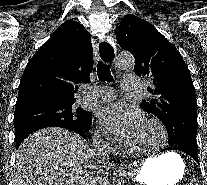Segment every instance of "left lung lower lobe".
Returning a JSON list of instances; mask_svg holds the SVG:
<instances>
[{"label":"left lung lower lobe","mask_w":207,"mask_h":185,"mask_svg":"<svg viewBox=\"0 0 207 185\" xmlns=\"http://www.w3.org/2000/svg\"><path fill=\"white\" fill-rule=\"evenodd\" d=\"M168 149H169V150L172 149V150H179V151H182V152H184V153L190 155L194 160H196V162L199 163V161H198V153H197V152L183 150V149L181 148V146H179V145L172 146V147L166 148V149H164V150H168Z\"/></svg>","instance_id":"0a47b994"}]
</instances>
